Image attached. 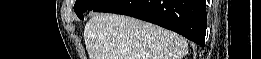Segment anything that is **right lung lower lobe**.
<instances>
[{"label": "right lung lower lobe", "mask_w": 261, "mask_h": 59, "mask_svg": "<svg viewBox=\"0 0 261 59\" xmlns=\"http://www.w3.org/2000/svg\"><path fill=\"white\" fill-rule=\"evenodd\" d=\"M93 11L148 21L177 32L201 47L205 46V0H107Z\"/></svg>", "instance_id": "1"}]
</instances>
